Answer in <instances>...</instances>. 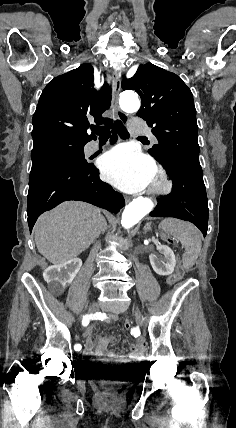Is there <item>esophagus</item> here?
Wrapping results in <instances>:
<instances>
[{
	"label": "esophagus",
	"mask_w": 236,
	"mask_h": 428,
	"mask_svg": "<svg viewBox=\"0 0 236 428\" xmlns=\"http://www.w3.org/2000/svg\"><path fill=\"white\" fill-rule=\"evenodd\" d=\"M112 78H113V83H114V90H113V98H112V107L116 112V115L118 117V119L123 123V124H127L128 122V116L125 112H123L118 105V98H119V93L121 90V80H120V76L119 73L116 71L112 72Z\"/></svg>",
	"instance_id": "obj_1"
}]
</instances>
